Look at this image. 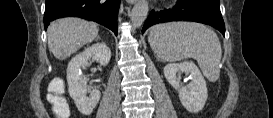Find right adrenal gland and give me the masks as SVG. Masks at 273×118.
Here are the masks:
<instances>
[{"label":"right adrenal gland","mask_w":273,"mask_h":118,"mask_svg":"<svg viewBox=\"0 0 273 118\" xmlns=\"http://www.w3.org/2000/svg\"><path fill=\"white\" fill-rule=\"evenodd\" d=\"M99 39H100V37L98 36V37H97V40H99Z\"/></svg>","instance_id":"1"}]
</instances>
